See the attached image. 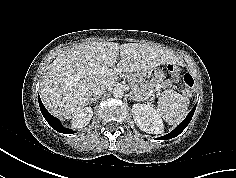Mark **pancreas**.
Returning <instances> with one entry per match:
<instances>
[{
  "label": "pancreas",
  "instance_id": "1",
  "mask_svg": "<svg viewBox=\"0 0 236 178\" xmlns=\"http://www.w3.org/2000/svg\"><path fill=\"white\" fill-rule=\"evenodd\" d=\"M126 76H127V78L129 79V81L131 82L133 91H134L135 93L139 94L140 96H142L144 99H148V98H149V92L144 89V87H143L142 84L139 82V80H138V78L136 77V75L127 74Z\"/></svg>",
  "mask_w": 236,
  "mask_h": 178
}]
</instances>
